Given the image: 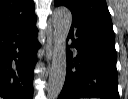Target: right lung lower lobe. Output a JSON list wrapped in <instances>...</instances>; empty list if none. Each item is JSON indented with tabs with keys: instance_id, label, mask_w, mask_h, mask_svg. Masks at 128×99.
Listing matches in <instances>:
<instances>
[{
	"instance_id": "98d812e1",
	"label": "right lung lower lobe",
	"mask_w": 128,
	"mask_h": 99,
	"mask_svg": "<svg viewBox=\"0 0 128 99\" xmlns=\"http://www.w3.org/2000/svg\"><path fill=\"white\" fill-rule=\"evenodd\" d=\"M37 34L36 15L0 33V97L33 99Z\"/></svg>"
}]
</instances>
